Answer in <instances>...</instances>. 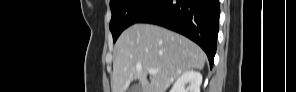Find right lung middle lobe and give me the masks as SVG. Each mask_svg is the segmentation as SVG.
<instances>
[{
	"instance_id": "obj_1",
	"label": "right lung middle lobe",
	"mask_w": 296,
	"mask_h": 92,
	"mask_svg": "<svg viewBox=\"0 0 296 92\" xmlns=\"http://www.w3.org/2000/svg\"><path fill=\"white\" fill-rule=\"evenodd\" d=\"M159 0H111L112 18L110 30L114 42L121 32L134 24L143 14L149 11Z\"/></svg>"
}]
</instances>
